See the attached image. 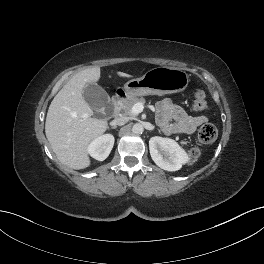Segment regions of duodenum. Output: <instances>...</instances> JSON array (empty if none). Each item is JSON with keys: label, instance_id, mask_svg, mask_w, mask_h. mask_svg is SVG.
<instances>
[{"label": "duodenum", "instance_id": "410a0bca", "mask_svg": "<svg viewBox=\"0 0 264 264\" xmlns=\"http://www.w3.org/2000/svg\"><path fill=\"white\" fill-rule=\"evenodd\" d=\"M123 96H124V93L120 91V92L116 93V94L111 98L110 106H109V110H108V114H109L111 117H114V116L117 115V113H118V108H119V105H120V102H121Z\"/></svg>", "mask_w": 264, "mask_h": 264}]
</instances>
